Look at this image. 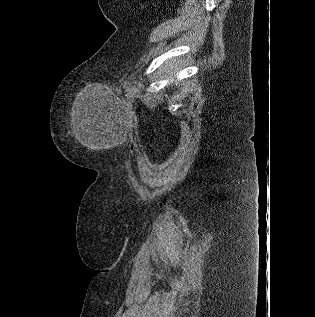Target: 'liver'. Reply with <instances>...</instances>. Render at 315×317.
Masks as SVG:
<instances>
[{
  "instance_id": "1",
  "label": "liver",
  "mask_w": 315,
  "mask_h": 317,
  "mask_svg": "<svg viewBox=\"0 0 315 317\" xmlns=\"http://www.w3.org/2000/svg\"><path fill=\"white\" fill-rule=\"evenodd\" d=\"M78 118L77 114H75V117H74V123H75V126H74V131L78 132L79 131V123L78 121L76 120ZM81 140V139H80ZM82 141V140H81ZM82 143H85L84 141H82Z\"/></svg>"
}]
</instances>
